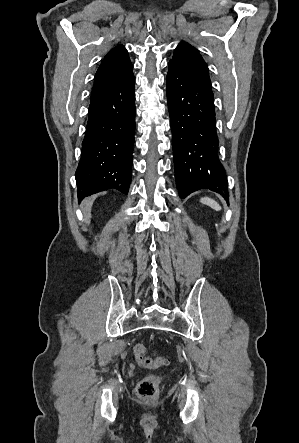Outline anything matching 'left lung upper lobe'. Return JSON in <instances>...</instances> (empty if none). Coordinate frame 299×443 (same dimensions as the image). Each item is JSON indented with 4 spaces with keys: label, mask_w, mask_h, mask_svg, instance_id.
<instances>
[{
    "label": "left lung upper lobe",
    "mask_w": 299,
    "mask_h": 443,
    "mask_svg": "<svg viewBox=\"0 0 299 443\" xmlns=\"http://www.w3.org/2000/svg\"><path fill=\"white\" fill-rule=\"evenodd\" d=\"M171 62L179 65L193 77L211 86L208 67L198 50L186 42H181L175 49Z\"/></svg>",
    "instance_id": "1"
}]
</instances>
